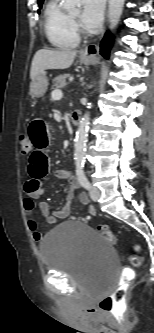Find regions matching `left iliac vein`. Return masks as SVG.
<instances>
[{
  "mask_svg": "<svg viewBox=\"0 0 154 333\" xmlns=\"http://www.w3.org/2000/svg\"><path fill=\"white\" fill-rule=\"evenodd\" d=\"M89 195L93 201H98L100 198V191L96 187H90Z\"/></svg>",
  "mask_w": 154,
  "mask_h": 333,
  "instance_id": "left-iliac-vein-1",
  "label": "left iliac vein"
}]
</instances>
